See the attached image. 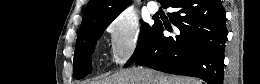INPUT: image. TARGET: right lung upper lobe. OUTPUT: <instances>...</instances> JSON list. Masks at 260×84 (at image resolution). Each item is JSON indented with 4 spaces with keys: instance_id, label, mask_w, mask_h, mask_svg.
I'll use <instances>...</instances> for the list:
<instances>
[{
    "instance_id": "right-lung-upper-lobe-1",
    "label": "right lung upper lobe",
    "mask_w": 260,
    "mask_h": 84,
    "mask_svg": "<svg viewBox=\"0 0 260 84\" xmlns=\"http://www.w3.org/2000/svg\"><path fill=\"white\" fill-rule=\"evenodd\" d=\"M128 4L129 0H89L77 38L93 23L115 19Z\"/></svg>"
}]
</instances>
